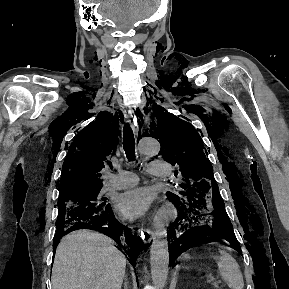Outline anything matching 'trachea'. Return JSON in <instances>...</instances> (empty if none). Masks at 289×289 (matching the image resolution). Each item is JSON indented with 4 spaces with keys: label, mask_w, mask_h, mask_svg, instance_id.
Listing matches in <instances>:
<instances>
[{
    "label": "trachea",
    "mask_w": 289,
    "mask_h": 289,
    "mask_svg": "<svg viewBox=\"0 0 289 289\" xmlns=\"http://www.w3.org/2000/svg\"><path fill=\"white\" fill-rule=\"evenodd\" d=\"M123 147L127 159L135 160V139L129 124H126L123 129Z\"/></svg>",
    "instance_id": "1"
}]
</instances>
